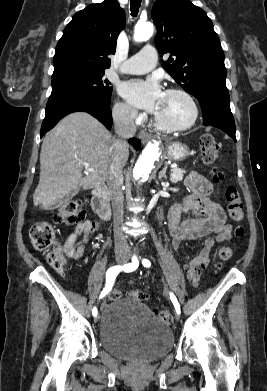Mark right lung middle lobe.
I'll return each instance as SVG.
<instances>
[{
  "mask_svg": "<svg viewBox=\"0 0 267 391\" xmlns=\"http://www.w3.org/2000/svg\"><path fill=\"white\" fill-rule=\"evenodd\" d=\"M103 76L104 71H72L52 76V93L48 101L84 96L110 102L112 87Z\"/></svg>",
  "mask_w": 267,
  "mask_h": 391,
  "instance_id": "right-lung-middle-lobe-1",
  "label": "right lung middle lobe"
}]
</instances>
